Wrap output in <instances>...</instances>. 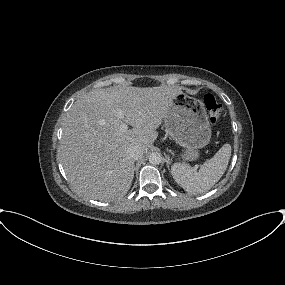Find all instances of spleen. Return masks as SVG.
I'll return each instance as SVG.
<instances>
[{
    "instance_id": "spleen-1",
    "label": "spleen",
    "mask_w": 285,
    "mask_h": 285,
    "mask_svg": "<svg viewBox=\"0 0 285 285\" xmlns=\"http://www.w3.org/2000/svg\"><path fill=\"white\" fill-rule=\"evenodd\" d=\"M231 156L230 144H224L213 158L207 160L198 171L176 163L171 168L174 180L188 194H200L210 190L227 169Z\"/></svg>"
}]
</instances>
